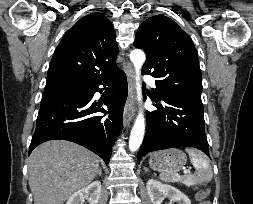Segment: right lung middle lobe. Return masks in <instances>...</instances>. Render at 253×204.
<instances>
[{
	"label": "right lung middle lobe",
	"instance_id": "1",
	"mask_svg": "<svg viewBox=\"0 0 253 204\" xmlns=\"http://www.w3.org/2000/svg\"><path fill=\"white\" fill-rule=\"evenodd\" d=\"M86 89L87 85L69 81L47 82L42 99L62 95L78 94L84 92Z\"/></svg>",
	"mask_w": 253,
	"mask_h": 204
}]
</instances>
